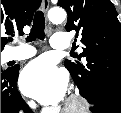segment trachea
<instances>
[{
  "mask_svg": "<svg viewBox=\"0 0 121 113\" xmlns=\"http://www.w3.org/2000/svg\"><path fill=\"white\" fill-rule=\"evenodd\" d=\"M44 30H45L44 14L42 11H37L34 16L33 25L30 34L26 39L27 42L34 41L35 39L44 40L45 37ZM9 41H12V39Z\"/></svg>",
  "mask_w": 121,
  "mask_h": 113,
  "instance_id": "1",
  "label": "trachea"
}]
</instances>
